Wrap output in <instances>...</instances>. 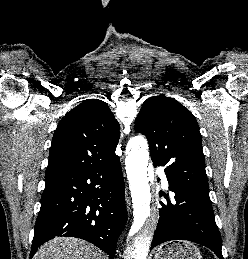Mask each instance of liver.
<instances>
[{
  "mask_svg": "<svg viewBox=\"0 0 248 259\" xmlns=\"http://www.w3.org/2000/svg\"><path fill=\"white\" fill-rule=\"evenodd\" d=\"M33 259H103L94 245L77 238L58 237L43 244Z\"/></svg>",
  "mask_w": 248,
  "mask_h": 259,
  "instance_id": "6515ba94",
  "label": "liver"
}]
</instances>
